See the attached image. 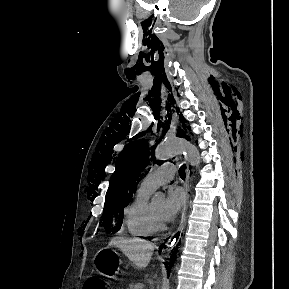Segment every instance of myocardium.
Listing matches in <instances>:
<instances>
[{
  "label": "myocardium",
  "instance_id": "1",
  "mask_svg": "<svg viewBox=\"0 0 289 289\" xmlns=\"http://www.w3.org/2000/svg\"><path fill=\"white\" fill-rule=\"evenodd\" d=\"M148 213H149V218L151 220V223L156 231L161 232L167 229V225L164 222H160L157 219L155 213L153 212L151 204H149L148 206Z\"/></svg>",
  "mask_w": 289,
  "mask_h": 289
}]
</instances>
